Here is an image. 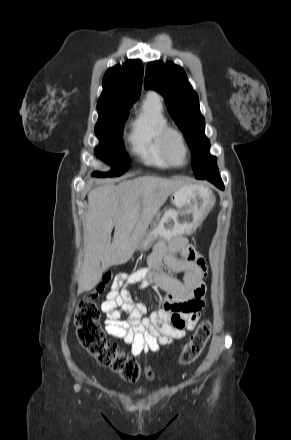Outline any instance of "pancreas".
I'll list each match as a JSON object with an SVG mask.
<instances>
[{
  "label": "pancreas",
  "instance_id": "cf45deb5",
  "mask_svg": "<svg viewBox=\"0 0 291 440\" xmlns=\"http://www.w3.org/2000/svg\"><path fill=\"white\" fill-rule=\"evenodd\" d=\"M160 215H161V214L158 213L157 218H156V221L153 223L152 228H153V227H156V225H157L156 222H158V220H159V218H160Z\"/></svg>",
  "mask_w": 291,
  "mask_h": 440
}]
</instances>
